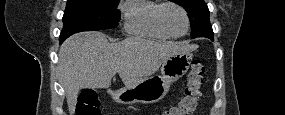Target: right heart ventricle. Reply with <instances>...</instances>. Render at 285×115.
<instances>
[{
  "mask_svg": "<svg viewBox=\"0 0 285 115\" xmlns=\"http://www.w3.org/2000/svg\"><path fill=\"white\" fill-rule=\"evenodd\" d=\"M158 1L133 0L124 8V29L130 35L167 40L171 37L157 21Z\"/></svg>",
  "mask_w": 285,
  "mask_h": 115,
  "instance_id": "right-heart-ventricle-1",
  "label": "right heart ventricle"
}]
</instances>
